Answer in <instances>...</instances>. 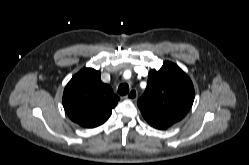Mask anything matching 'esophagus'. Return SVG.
Returning <instances> with one entry per match:
<instances>
[{
    "instance_id": "34e87169",
    "label": "esophagus",
    "mask_w": 249,
    "mask_h": 165,
    "mask_svg": "<svg viewBox=\"0 0 249 165\" xmlns=\"http://www.w3.org/2000/svg\"><path fill=\"white\" fill-rule=\"evenodd\" d=\"M138 97V93L135 89H132L130 90V92L128 93V95L126 96L127 99H130V100H136Z\"/></svg>"
}]
</instances>
